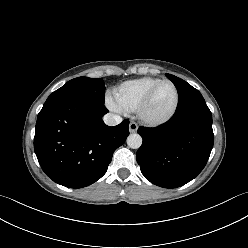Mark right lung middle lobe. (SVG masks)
<instances>
[{
    "instance_id": "1",
    "label": "right lung middle lobe",
    "mask_w": 248,
    "mask_h": 248,
    "mask_svg": "<svg viewBox=\"0 0 248 248\" xmlns=\"http://www.w3.org/2000/svg\"><path fill=\"white\" fill-rule=\"evenodd\" d=\"M105 85L101 78L78 77L50 94L48 99L64 95H83L104 103Z\"/></svg>"
}]
</instances>
